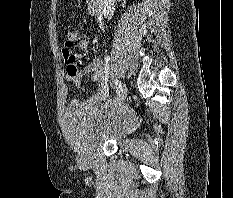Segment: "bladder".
<instances>
[{"mask_svg": "<svg viewBox=\"0 0 233 198\" xmlns=\"http://www.w3.org/2000/svg\"><path fill=\"white\" fill-rule=\"evenodd\" d=\"M132 120L130 111L106 104L87 113L69 110L63 129L68 141L84 154L105 140L120 138Z\"/></svg>", "mask_w": 233, "mask_h": 198, "instance_id": "bladder-1", "label": "bladder"}]
</instances>
